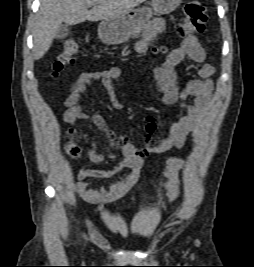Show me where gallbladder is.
<instances>
[{"instance_id":"gallbladder-1","label":"gallbladder","mask_w":254,"mask_h":267,"mask_svg":"<svg viewBox=\"0 0 254 267\" xmlns=\"http://www.w3.org/2000/svg\"><path fill=\"white\" fill-rule=\"evenodd\" d=\"M69 34V27L67 24L60 25L56 31V39H64Z\"/></svg>"}]
</instances>
